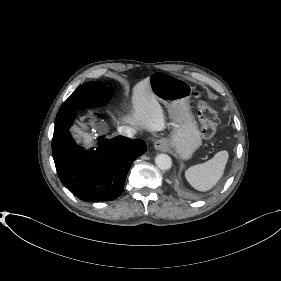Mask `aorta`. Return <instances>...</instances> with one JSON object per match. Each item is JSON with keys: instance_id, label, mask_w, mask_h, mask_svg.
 Returning a JSON list of instances; mask_svg holds the SVG:
<instances>
[{"instance_id": "762f6f07", "label": "aorta", "mask_w": 281, "mask_h": 281, "mask_svg": "<svg viewBox=\"0 0 281 281\" xmlns=\"http://www.w3.org/2000/svg\"><path fill=\"white\" fill-rule=\"evenodd\" d=\"M155 163L161 170H169L172 167V160L167 154H158L155 157Z\"/></svg>"}]
</instances>
